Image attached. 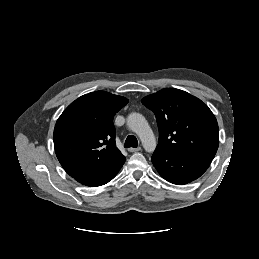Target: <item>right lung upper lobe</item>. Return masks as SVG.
<instances>
[{"instance_id":"right-lung-upper-lobe-1","label":"right lung upper lobe","mask_w":259,"mask_h":259,"mask_svg":"<svg viewBox=\"0 0 259 259\" xmlns=\"http://www.w3.org/2000/svg\"><path fill=\"white\" fill-rule=\"evenodd\" d=\"M128 103L105 91L72 102L54 128L56 156L73 178L94 176L124 158L115 143L114 115Z\"/></svg>"}]
</instances>
